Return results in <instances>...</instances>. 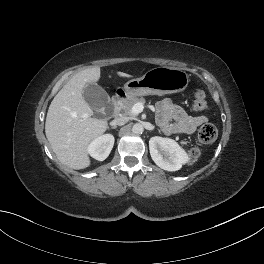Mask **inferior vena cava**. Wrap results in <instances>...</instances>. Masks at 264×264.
<instances>
[{
    "instance_id": "1",
    "label": "inferior vena cava",
    "mask_w": 264,
    "mask_h": 264,
    "mask_svg": "<svg viewBox=\"0 0 264 264\" xmlns=\"http://www.w3.org/2000/svg\"><path fill=\"white\" fill-rule=\"evenodd\" d=\"M126 122H127V118H125V117H120V118H116V119H114L113 121H111V122H110V125H111V126H116V125H118V126H122V125H124Z\"/></svg>"
}]
</instances>
